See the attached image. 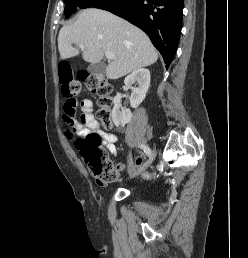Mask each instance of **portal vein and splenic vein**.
Returning <instances> with one entry per match:
<instances>
[{
    "instance_id": "1",
    "label": "portal vein and splenic vein",
    "mask_w": 248,
    "mask_h": 258,
    "mask_svg": "<svg viewBox=\"0 0 248 258\" xmlns=\"http://www.w3.org/2000/svg\"><path fill=\"white\" fill-rule=\"evenodd\" d=\"M79 47H81V48H83L84 47V44H79ZM105 57L107 58V59H109V60H113L114 59V54L113 53H111V52H106L105 53Z\"/></svg>"
}]
</instances>
